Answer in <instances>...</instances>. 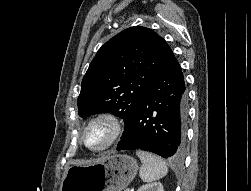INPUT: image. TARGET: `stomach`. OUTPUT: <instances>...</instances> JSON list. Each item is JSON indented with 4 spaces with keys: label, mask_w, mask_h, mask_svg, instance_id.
Wrapping results in <instances>:
<instances>
[{
    "label": "stomach",
    "mask_w": 251,
    "mask_h": 191,
    "mask_svg": "<svg viewBox=\"0 0 251 191\" xmlns=\"http://www.w3.org/2000/svg\"><path fill=\"white\" fill-rule=\"evenodd\" d=\"M138 169V163L131 155L109 153L98 163L71 165L61 183L60 191H121Z\"/></svg>",
    "instance_id": "0dacf381"
}]
</instances>
